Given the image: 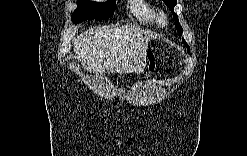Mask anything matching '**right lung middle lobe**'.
Listing matches in <instances>:
<instances>
[{
  "label": "right lung middle lobe",
  "instance_id": "1",
  "mask_svg": "<svg viewBox=\"0 0 247 156\" xmlns=\"http://www.w3.org/2000/svg\"><path fill=\"white\" fill-rule=\"evenodd\" d=\"M115 3L116 1L97 3L89 0H77V9L72 15V21L73 23H80L87 19H107L113 16Z\"/></svg>",
  "mask_w": 247,
  "mask_h": 156
}]
</instances>
